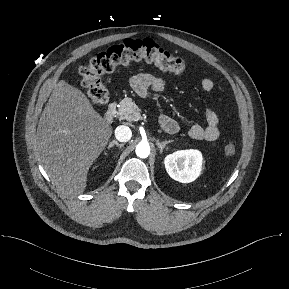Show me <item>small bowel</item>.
<instances>
[{"instance_id":"1","label":"small bowel","mask_w":289,"mask_h":289,"mask_svg":"<svg viewBox=\"0 0 289 289\" xmlns=\"http://www.w3.org/2000/svg\"><path fill=\"white\" fill-rule=\"evenodd\" d=\"M165 78L162 75L143 73L133 77L131 86L137 95L146 97L149 92H162L165 88ZM214 83L210 78H204L201 81V88L204 91H211ZM206 124L200 125L193 123L188 128L190 137L197 140L214 141L219 137V118L218 115L208 109L205 113ZM160 123L162 128L168 133H175L179 129L178 123L168 115L160 116Z\"/></svg>"}]
</instances>
